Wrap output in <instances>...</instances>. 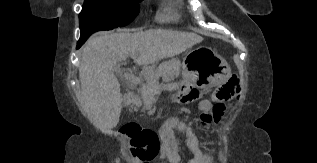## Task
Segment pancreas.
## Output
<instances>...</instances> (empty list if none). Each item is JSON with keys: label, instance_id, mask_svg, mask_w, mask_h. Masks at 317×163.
I'll list each match as a JSON object with an SVG mask.
<instances>
[{"label": "pancreas", "instance_id": "1", "mask_svg": "<svg viewBox=\"0 0 317 163\" xmlns=\"http://www.w3.org/2000/svg\"><path fill=\"white\" fill-rule=\"evenodd\" d=\"M181 63L178 59H172L159 64L158 67H151L145 76V83L140 88V96L143 109H147L156 101L158 94L163 90V85L159 83L162 78L163 83H167L180 75Z\"/></svg>", "mask_w": 317, "mask_h": 163}]
</instances>
